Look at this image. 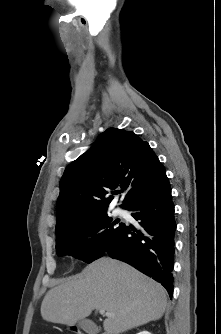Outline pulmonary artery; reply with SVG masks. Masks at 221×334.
<instances>
[{
	"label": "pulmonary artery",
	"instance_id": "obj_1",
	"mask_svg": "<svg viewBox=\"0 0 221 334\" xmlns=\"http://www.w3.org/2000/svg\"><path fill=\"white\" fill-rule=\"evenodd\" d=\"M114 212L117 215H123L124 214V211L122 209H120V208H116Z\"/></svg>",
	"mask_w": 221,
	"mask_h": 334
}]
</instances>
